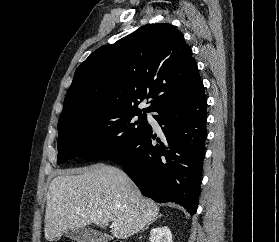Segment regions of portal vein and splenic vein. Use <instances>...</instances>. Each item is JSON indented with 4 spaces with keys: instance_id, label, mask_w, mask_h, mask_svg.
Returning a JSON list of instances; mask_svg holds the SVG:
<instances>
[{
    "instance_id": "1",
    "label": "portal vein and splenic vein",
    "mask_w": 279,
    "mask_h": 242,
    "mask_svg": "<svg viewBox=\"0 0 279 242\" xmlns=\"http://www.w3.org/2000/svg\"><path fill=\"white\" fill-rule=\"evenodd\" d=\"M98 217H101L102 216V214L101 213H98V215H97ZM112 226H116V223L115 222H113L112 223Z\"/></svg>"
}]
</instances>
